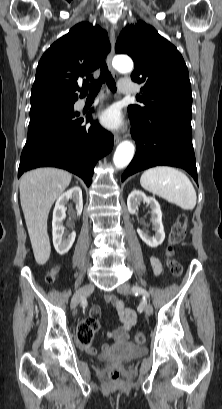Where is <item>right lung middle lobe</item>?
<instances>
[{
  "mask_svg": "<svg viewBox=\"0 0 222 409\" xmlns=\"http://www.w3.org/2000/svg\"><path fill=\"white\" fill-rule=\"evenodd\" d=\"M74 103H59V104H43V105H38L35 107H31L30 111V121L36 120L43 115L47 114L48 112L52 111L53 109L59 108V107H66V108H73Z\"/></svg>",
  "mask_w": 222,
  "mask_h": 409,
  "instance_id": "dd1d6c3e",
  "label": "right lung middle lobe"
}]
</instances>
